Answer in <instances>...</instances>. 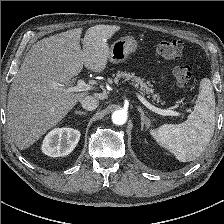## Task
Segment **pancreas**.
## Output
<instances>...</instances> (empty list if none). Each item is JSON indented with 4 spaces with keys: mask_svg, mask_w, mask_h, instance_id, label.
Returning <instances> with one entry per match:
<instances>
[{
    "mask_svg": "<svg viewBox=\"0 0 224 224\" xmlns=\"http://www.w3.org/2000/svg\"><path fill=\"white\" fill-rule=\"evenodd\" d=\"M114 81L118 82L120 78L124 79V81H131L133 83H136L137 85H140L141 90L143 92H146L148 95H152L153 98L159 99L158 94L153 93V89L150 88V84H146L144 82V79L141 77H137L134 74L126 73V72H120L118 71L115 75Z\"/></svg>",
    "mask_w": 224,
    "mask_h": 224,
    "instance_id": "cf45deb5",
    "label": "pancreas"
}]
</instances>
